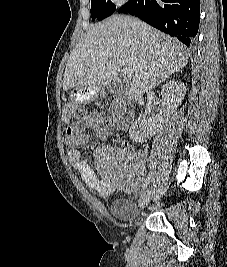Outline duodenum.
I'll return each instance as SVG.
<instances>
[{"mask_svg": "<svg viewBox=\"0 0 227 267\" xmlns=\"http://www.w3.org/2000/svg\"><path fill=\"white\" fill-rule=\"evenodd\" d=\"M130 97L135 106H140L143 103L142 97L135 93H131Z\"/></svg>", "mask_w": 227, "mask_h": 267, "instance_id": "1", "label": "duodenum"}]
</instances>
